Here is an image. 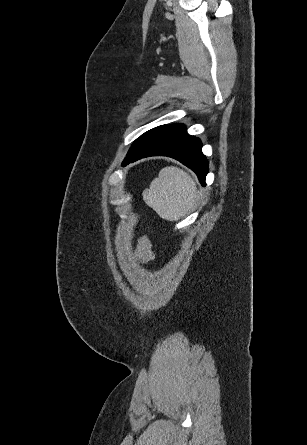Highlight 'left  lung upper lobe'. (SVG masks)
Masks as SVG:
<instances>
[{
  "label": "left lung upper lobe",
  "instance_id": "left-lung-upper-lobe-1",
  "mask_svg": "<svg viewBox=\"0 0 307 445\" xmlns=\"http://www.w3.org/2000/svg\"><path fill=\"white\" fill-rule=\"evenodd\" d=\"M165 127H166V125H161L156 128H153V129L147 131L146 133H144L143 135H141L131 146V148H130V150L122 164H124L126 162V160L132 154H134L144 142H146L150 137L154 136L155 134H157L159 131H161Z\"/></svg>",
  "mask_w": 307,
  "mask_h": 445
}]
</instances>
